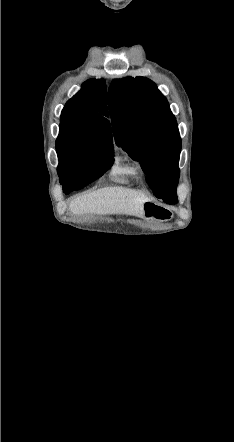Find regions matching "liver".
<instances>
[{
  "label": "liver",
  "mask_w": 234,
  "mask_h": 442,
  "mask_svg": "<svg viewBox=\"0 0 234 442\" xmlns=\"http://www.w3.org/2000/svg\"><path fill=\"white\" fill-rule=\"evenodd\" d=\"M149 199L141 192L122 188L107 187L77 197L69 205L76 215L125 214L143 217V204Z\"/></svg>",
  "instance_id": "6515ba94"
}]
</instances>
